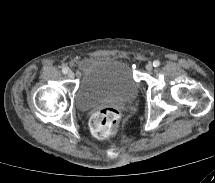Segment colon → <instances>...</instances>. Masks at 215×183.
<instances>
[{
	"label": "colon",
	"instance_id": "colon-1",
	"mask_svg": "<svg viewBox=\"0 0 215 183\" xmlns=\"http://www.w3.org/2000/svg\"><path fill=\"white\" fill-rule=\"evenodd\" d=\"M120 111L115 107H107L94 113L90 119V129L97 137L109 136L118 125Z\"/></svg>",
	"mask_w": 215,
	"mask_h": 183
}]
</instances>
